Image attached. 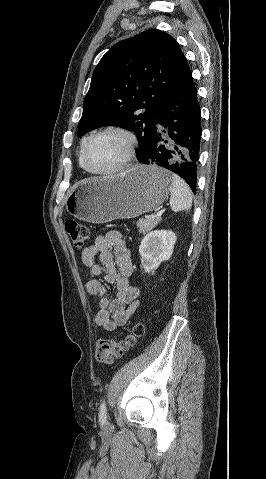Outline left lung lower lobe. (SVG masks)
<instances>
[{
	"label": "left lung lower lobe",
	"mask_w": 266,
	"mask_h": 479,
	"mask_svg": "<svg viewBox=\"0 0 266 479\" xmlns=\"http://www.w3.org/2000/svg\"><path fill=\"white\" fill-rule=\"evenodd\" d=\"M201 132L200 106L189 70L162 105L149 147L140 162L178 174L196 194Z\"/></svg>",
	"instance_id": "left-lung-lower-lobe-1"
}]
</instances>
